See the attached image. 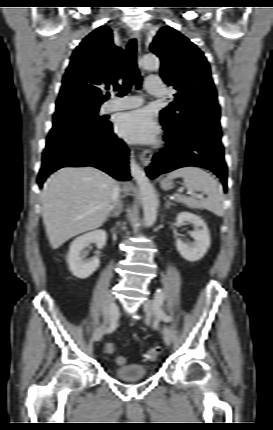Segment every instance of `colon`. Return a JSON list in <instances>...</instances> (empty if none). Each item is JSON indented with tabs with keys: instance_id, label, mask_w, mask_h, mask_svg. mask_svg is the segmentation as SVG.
<instances>
[{
	"instance_id": "obj_1",
	"label": "colon",
	"mask_w": 273,
	"mask_h": 430,
	"mask_svg": "<svg viewBox=\"0 0 273 430\" xmlns=\"http://www.w3.org/2000/svg\"><path fill=\"white\" fill-rule=\"evenodd\" d=\"M114 348L115 346L113 343H108L105 346V350L108 353H113ZM159 352H160V348L158 346L151 347L142 355V358L147 361H153L158 357ZM115 363L119 366H123L126 364V358L123 356H116Z\"/></svg>"
}]
</instances>
